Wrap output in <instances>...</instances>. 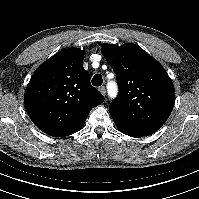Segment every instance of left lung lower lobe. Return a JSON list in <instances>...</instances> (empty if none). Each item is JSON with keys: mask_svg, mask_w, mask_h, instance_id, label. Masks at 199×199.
<instances>
[{"mask_svg": "<svg viewBox=\"0 0 199 199\" xmlns=\"http://www.w3.org/2000/svg\"><path fill=\"white\" fill-rule=\"evenodd\" d=\"M115 125L117 126V128L124 134L132 136V137H136V138H140L143 136H146L148 134L143 133L140 130L134 129L132 127H130L129 125H126L124 123H122L121 121H117L114 120Z\"/></svg>", "mask_w": 199, "mask_h": 199, "instance_id": "0a47b994", "label": "left lung lower lobe"}]
</instances>
